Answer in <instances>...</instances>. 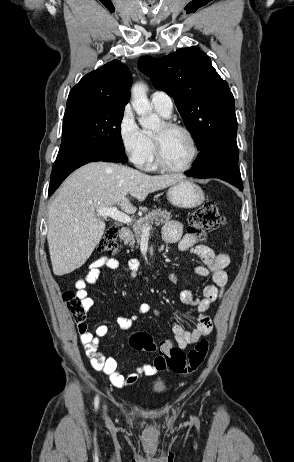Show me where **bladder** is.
Wrapping results in <instances>:
<instances>
[{
  "instance_id": "1",
  "label": "bladder",
  "mask_w": 294,
  "mask_h": 462,
  "mask_svg": "<svg viewBox=\"0 0 294 462\" xmlns=\"http://www.w3.org/2000/svg\"><path fill=\"white\" fill-rule=\"evenodd\" d=\"M155 393H163L167 389V384L164 380H156L152 385Z\"/></svg>"
}]
</instances>
